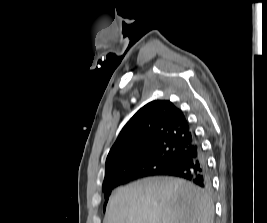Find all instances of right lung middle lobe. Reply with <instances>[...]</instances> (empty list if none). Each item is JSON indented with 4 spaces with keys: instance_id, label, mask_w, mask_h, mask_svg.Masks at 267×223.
I'll return each mask as SVG.
<instances>
[{
    "instance_id": "1",
    "label": "right lung middle lobe",
    "mask_w": 267,
    "mask_h": 223,
    "mask_svg": "<svg viewBox=\"0 0 267 223\" xmlns=\"http://www.w3.org/2000/svg\"><path fill=\"white\" fill-rule=\"evenodd\" d=\"M184 152L178 146L165 145L155 149L154 153L142 160H136L130 165L131 171H145L150 174L163 172L171 166ZM105 194V200L108 201L109 195Z\"/></svg>"
}]
</instances>
